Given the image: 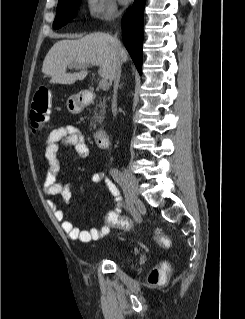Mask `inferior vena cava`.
<instances>
[{"instance_id":"obj_1","label":"inferior vena cava","mask_w":245,"mask_h":319,"mask_svg":"<svg viewBox=\"0 0 245 319\" xmlns=\"http://www.w3.org/2000/svg\"><path fill=\"white\" fill-rule=\"evenodd\" d=\"M114 45L117 49V51L121 50V43L117 38V35L114 36ZM121 66H122V61L118 60L116 63L115 71H114V95H113V104H112V113L113 116L117 115V104H116V96H117V90L119 86V81H120V76H121Z\"/></svg>"}]
</instances>
